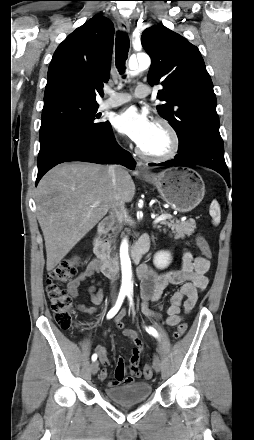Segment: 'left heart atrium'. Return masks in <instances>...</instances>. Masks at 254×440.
Segmentation results:
<instances>
[{"label": "left heart atrium", "instance_id": "left-heart-atrium-1", "mask_svg": "<svg viewBox=\"0 0 254 440\" xmlns=\"http://www.w3.org/2000/svg\"><path fill=\"white\" fill-rule=\"evenodd\" d=\"M154 122L142 110L129 107L113 117V126L117 131L130 138L140 147L150 136Z\"/></svg>", "mask_w": 254, "mask_h": 440}]
</instances>
